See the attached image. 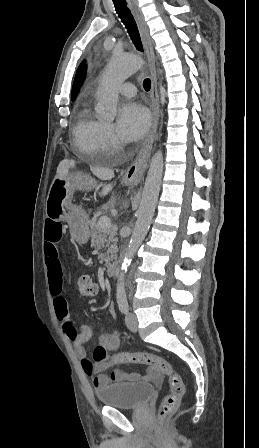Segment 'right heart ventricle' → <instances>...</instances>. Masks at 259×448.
I'll return each instance as SVG.
<instances>
[{
	"instance_id": "1",
	"label": "right heart ventricle",
	"mask_w": 259,
	"mask_h": 448,
	"mask_svg": "<svg viewBox=\"0 0 259 448\" xmlns=\"http://www.w3.org/2000/svg\"><path fill=\"white\" fill-rule=\"evenodd\" d=\"M103 121L99 119L88 100L83 101L76 112L73 134L79 148L86 150L77 156H82V163H102L104 155L100 147V133Z\"/></svg>"
}]
</instances>
